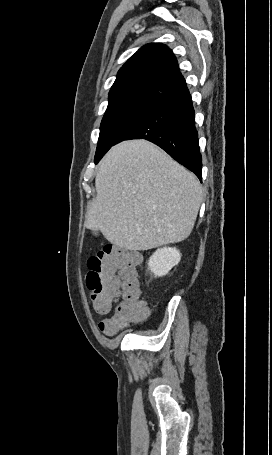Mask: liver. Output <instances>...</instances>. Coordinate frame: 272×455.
<instances>
[{
	"label": "liver",
	"mask_w": 272,
	"mask_h": 455,
	"mask_svg": "<svg viewBox=\"0 0 272 455\" xmlns=\"http://www.w3.org/2000/svg\"><path fill=\"white\" fill-rule=\"evenodd\" d=\"M85 225L130 251L185 240L202 200L196 177L146 140L125 141L102 159Z\"/></svg>",
	"instance_id": "liver-1"
}]
</instances>
